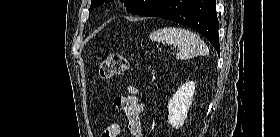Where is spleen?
Instances as JSON below:
<instances>
[{
  "label": "spleen",
  "instance_id": "3e777b00",
  "mask_svg": "<svg viewBox=\"0 0 280 137\" xmlns=\"http://www.w3.org/2000/svg\"><path fill=\"white\" fill-rule=\"evenodd\" d=\"M152 41H164L169 45L177 46L178 59H189L207 55L209 49L204 41L194 32L180 27H164L150 34Z\"/></svg>",
  "mask_w": 280,
  "mask_h": 137
}]
</instances>
